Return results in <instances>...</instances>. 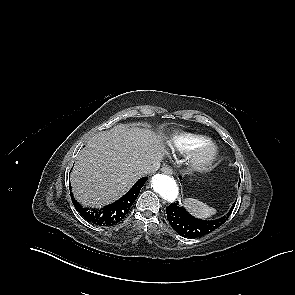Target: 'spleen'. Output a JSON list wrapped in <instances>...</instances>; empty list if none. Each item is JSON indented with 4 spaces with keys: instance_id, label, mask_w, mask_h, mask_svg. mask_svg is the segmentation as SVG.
Returning a JSON list of instances; mask_svg holds the SVG:
<instances>
[{
    "instance_id": "3e777b00",
    "label": "spleen",
    "mask_w": 295,
    "mask_h": 295,
    "mask_svg": "<svg viewBox=\"0 0 295 295\" xmlns=\"http://www.w3.org/2000/svg\"><path fill=\"white\" fill-rule=\"evenodd\" d=\"M184 207L198 218H208L216 213V209L194 198H187Z\"/></svg>"
}]
</instances>
